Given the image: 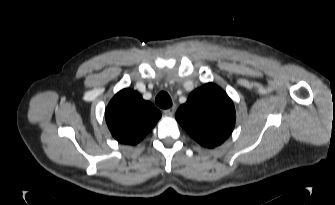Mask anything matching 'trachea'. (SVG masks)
Masks as SVG:
<instances>
[{
	"instance_id": "trachea-1",
	"label": "trachea",
	"mask_w": 335,
	"mask_h": 205,
	"mask_svg": "<svg viewBox=\"0 0 335 205\" xmlns=\"http://www.w3.org/2000/svg\"><path fill=\"white\" fill-rule=\"evenodd\" d=\"M155 102L157 104V106H159L160 108H163V109H168L172 106V100L169 96V94L165 91H161L156 99H155Z\"/></svg>"
}]
</instances>
